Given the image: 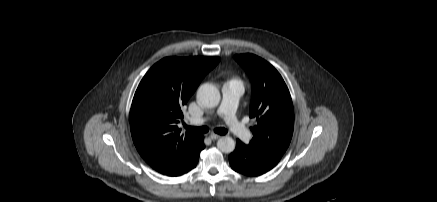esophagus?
<instances>
[{
    "instance_id": "esophagus-1",
    "label": "esophagus",
    "mask_w": 437,
    "mask_h": 202,
    "mask_svg": "<svg viewBox=\"0 0 437 202\" xmlns=\"http://www.w3.org/2000/svg\"><path fill=\"white\" fill-rule=\"evenodd\" d=\"M209 137H210L211 140H217V139H219L221 136L218 135V134L212 133V134H210Z\"/></svg>"
}]
</instances>
